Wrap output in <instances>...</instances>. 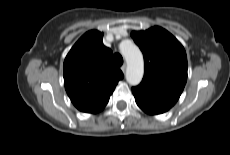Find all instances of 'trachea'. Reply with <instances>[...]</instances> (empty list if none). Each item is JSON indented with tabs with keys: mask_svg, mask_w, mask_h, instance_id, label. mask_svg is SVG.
I'll return each mask as SVG.
<instances>
[{
	"mask_svg": "<svg viewBox=\"0 0 230 155\" xmlns=\"http://www.w3.org/2000/svg\"><path fill=\"white\" fill-rule=\"evenodd\" d=\"M113 62L116 66H121L123 64V58L119 53L113 55Z\"/></svg>",
	"mask_w": 230,
	"mask_h": 155,
	"instance_id": "3493384b",
	"label": "trachea"
}]
</instances>
